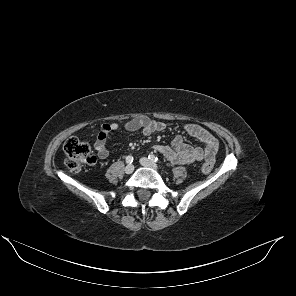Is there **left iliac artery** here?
<instances>
[{"label":"left iliac artery","instance_id":"obj_1","mask_svg":"<svg viewBox=\"0 0 296 296\" xmlns=\"http://www.w3.org/2000/svg\"><path fill=\"white\" fill-rule=\"evenodd\" d=\"M148 158L152 161V162H155V163H160V160L153 154H150L148 156Z\"/></svg>","mask_w":296,"mask_h":296}]
</instances>
